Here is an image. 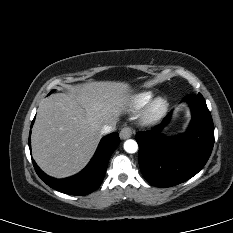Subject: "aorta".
<instances>
[{
    "label": "aorta",
    "mask_w": 233,
    "mask_h": 233,
    "mask_svg": "<svg viewBox=\"0 0 233 233\" xmlns=\"http://www.w3.org/2000/svg\"><path fill=\"white\" fill-rule=\"evenodd\" d=\"M124 150L128 153H135L138 150V144L135 140L129 139L124 142Z\"/></svg>",
    "instance_id": "aorta-1"
}]
</instances>
